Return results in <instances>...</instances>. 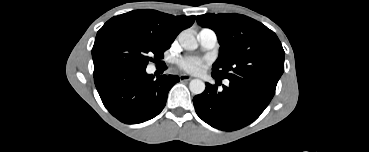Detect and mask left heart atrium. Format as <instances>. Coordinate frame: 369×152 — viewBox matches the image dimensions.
I'll return each instance as SVG.
<instances>
[{
  "label": "left heart atrium",
  "instance_id": "39dd6f15",
  "mask_svg": "<svg viewBox=\"0 0 369 152\" xmlns=\"http://www.w3.org/2000/svg\"><path fill=\"white\" fill-rule=\"evenodd\" d=\"M202 65H203V61L197 57H187V58L180 59L178 61V66L182 70L188 73H192V74L199 73L202 68Z\"/></svg>",
  "mask_w": 369,
  "mask_h": 152
}]
</instances>
